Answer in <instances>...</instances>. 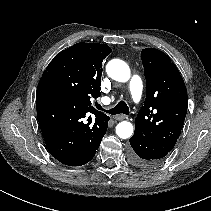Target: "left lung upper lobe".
Segmentation results:
<instances>
[{"instance_id":"left-lung-upper-lobe-1","label":"left lung upper lobe","mask_w":211,"mask_h":211,"mask_svg":"<svg viewBox=\"0 0 211 211\" xmlns=\"http://www.w3.org/2000/svg\"><path fill=\"white\" fill-rule=\"evenodd\" d=\"M141 58L147 93L135 119V131L171 151L187 114L186 86L175 64L162 51L146 48Z\"/></svg>"}]
</instances>
